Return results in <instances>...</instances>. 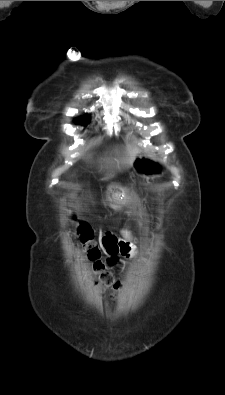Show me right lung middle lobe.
Segmentation results:
<instances>
[{
    "instance_id": "dd1d6c3e",
    "label": "right lung middle lobe",
    "mask_w": 225,
    "mask_h": 395,
    "mask_svg": "<svg viewBox=\"0 0 225 395\" xmlns=\"http://www.w3.org/2000/svg\"><path fill=\"white\" fill-rule=\"evenodd\" d=\"M77 122L82 124H87V122H85V119L83 118L77 119Z\"/></svg>"
}]
</instances>
